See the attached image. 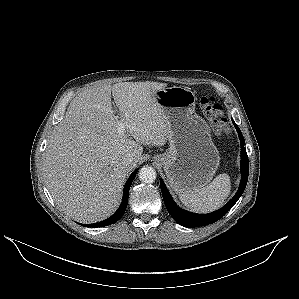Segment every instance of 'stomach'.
Instances as JSON below:
<instances>
[{
    "mask_svg": "<svg viewBox=\"0 0 299 299\" xmlns=\"http://www.w3.org/2000/svg\"><path fill=\"white\" fill-rule=\"evenodd\" d=\"M155 101L168 122L169 148L155 155L176 193L206 186L219 166L220 156L208 124L195 113V93L186 87H168L155 93Z\"/></svg>",
    "mask_w": 299,
    "mask_h": 299,
    "instance_id": "1",
    "label": "stomach"
}]
</instances>
